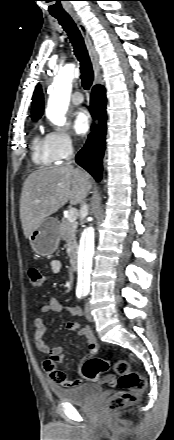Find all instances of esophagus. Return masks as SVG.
I'll return each instance as SVG.
<instances>
[{"mask_svg":"<svg viewBox=\"0 0 174 440\" xmlns=\"http://www.w3.org/2000/svg\"><path fill=\"white\" fill-rule=\"evenodd\" d=\"M73 19L75 21V23L77 24L87 47L91 62H92V66H93V70H94V74L95 77L97 78L100 74V66L98 63V55L95 51V48L93 46V43L91 41L89 32L87 30V27L85 26V24L82 22V20L80 19V17H78L77 15H73Z\"/></svg>","mask_w":174,"mask_h":440,"instance_id":"obj_1","label":"esophagus"}]
</instances>
